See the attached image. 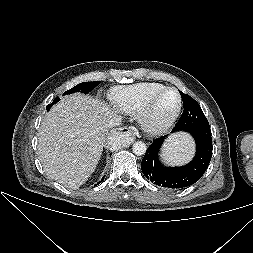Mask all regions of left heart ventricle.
<instances>
[{"instance_id": "1", "label": "left heart ventricle", "mask_w": 253, "mask_h": 253, "mask_svg": "<svg viewBox=\"0 0 253 253\" xmlns=\"http://www.w3.org/2000/svg\"><path fill=\"white\" fill-rule=\"evenodd\" d=\"M178 97L174 91H166L156 102L152 115L154 122L166 120L175 111Z\"/></svg>"}]
</instances>
